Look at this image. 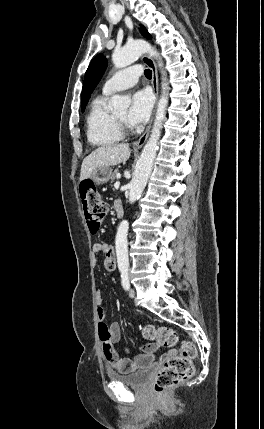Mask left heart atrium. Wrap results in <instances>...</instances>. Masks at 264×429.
I'll return each instance as SVG.
<instances>
[{"mask_svg":"<svg viewBox=\"0 0 264 429\" xmlns=\"http://www.w3.org/2000/svg\"><path fill=\"white\" fill-rule=\"evenodd\" d=\"M153 107V97L147 90H140L132 95L131 105L127 113V122L131 126L145 123Z\"/></svg>","mask_w":264,"mask_h":429,"instance_id":"39dd6f15","label":"left heart atrium"}]
</instances>
